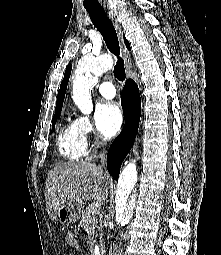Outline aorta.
Here are the masks:
<instances>
[{
	"mask_svg": "<svg viewBox=\"0 0 221 255\" xmlns=\"http://www.w3.org/2000/svg\"><path fill=\"white\" fill-rule=\"evenodd\" d=\"M101 66L90 68V70L76 77L73 81L72 98L84 114L93 110L91 90L98 81ZM138 172L134 163L128 164L121 172L116 191V221L121 226L127 225L133 217L136 203V189Z\"/></svg>",
	"mask_w": 221,
	"mask_h": 255,
	"instance_id": "obj_1",
	"label": "aorta"
}]
</instances>
